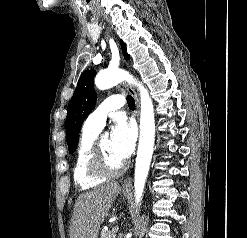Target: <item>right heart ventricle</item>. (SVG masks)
<instances>
[{"instance_id": "obj_1", "label": "right heart ventricle", "mask_w": 247, "mask_h": 238, "mask_svg": "<svg viewBox=\"0 0 247 238\" xmlns=\"http://www.w3.org/2000/svg\"><path fill=\"white\" fill-rule=\"evenodd\" d=\"M98 134L99 131L83 126L73 166L74 183L82 190L94 188L105 181V178L93 176L88 168L93 146Z\"/></svg>"}]
</instances>
